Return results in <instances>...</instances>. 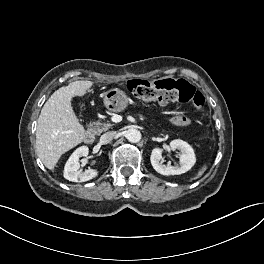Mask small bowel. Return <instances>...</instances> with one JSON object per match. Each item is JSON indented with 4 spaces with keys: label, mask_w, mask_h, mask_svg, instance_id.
Here are the masks:
<instances>
[{
    "label": "small bowel",
    "mask_w": 264,
    "mask_h": 264,
    "mask_svg": "<svg viewBox=\"0 0 264 264\" xmlns=\"http://www.w3.org/2000/svg\"><path fill=\"white\" fill-rule=\"evenodd\" d=\"M171 121L175 126H180V127L188 126L190 124V120L181 115L174 116Z\"/></svg>",
    "instance_id": "1"
}]
</instances>
